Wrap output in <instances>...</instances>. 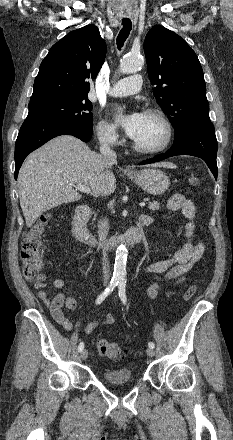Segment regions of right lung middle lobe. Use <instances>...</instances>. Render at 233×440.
<instances>
[{"label": "right lung middle lobe", "mask_w": 233, "mask_h": 440, "mask_svg": "<svg viewBox=\"0 0 233 440\" xmlns=\"http://www.w3.org/2000/svg\"><path fill=\"white\" fill-rule=\"evenodd\" d=\"M92 103L88 97L53 98L29 104L27 118H50L57 121L74 123L92 134Z\"/></svg>", "instance_id": "1"}]
</instances>
